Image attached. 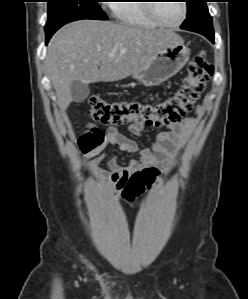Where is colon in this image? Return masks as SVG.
Segmentation results:
<instances>
[{"mask_svg":"<svg viewBox=\"0 0 248 299\" xmlns=\"http://www.w3.org/2000/svg\"><path fill=\"white\" fill-rule=\"evenodd\" d=\"M214 67L206 54H197L189 63L180 86L170 95L155 102L140 100L108 101L99 95L88 99L91 116L102 124L142 122L162 126L178 122L193 108L206 83L213 77ZM158 170L146 167L133 172L121 185L122 196L132 201L156 183Z\"/></svg>","mask_w":248,"mask_h":299,"instance_id":"colon-1","label":"colon"}]
</instances>
